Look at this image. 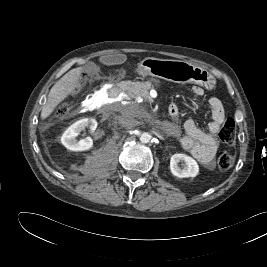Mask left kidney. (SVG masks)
Masks as SVG:
<instances>
[{"label":"left kidney","mask_w":267,"mask_h":267,"mask_svg":"<svg viewBox=\"0 0 267 267\" xmlns=\"http://www.w3.org/2000/svg\"><path fill=\"white\" fill-rule=\"evenodd\" d=\"M185 162V166L180 168L178 163ZM171 173L178 178L196 177L199 174V166L197 162L190 156L185 154H174L170 159Z\"/></svg>","instance_id":"1"}]
</instances>
